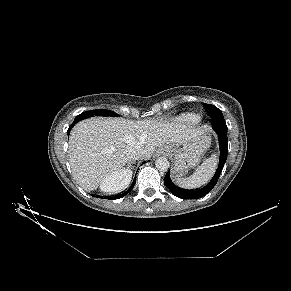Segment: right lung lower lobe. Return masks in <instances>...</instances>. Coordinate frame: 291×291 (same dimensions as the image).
Masks as SVG:
<instances>
[{
    "label": "right lung lower lobe",
    "instance_id": "1",
    "mask_svg": "<svg viewBox=\"0 0 291 291\" xmlns=\"http://www.w3.org/2000/svg\"><path fill=\"white\" fill-rule=\"evenodd\" d=\"M77 122H78V121H74L73 124L69 127V129H68V131H67L68 136H69V133H70L71 128H72V127H73ZM135 182H136V178H134L132 185L130 186V188H129L126 192H124V193H122V194H120V195H117V196H115V197H112L111 199H118V198H122V197H124L125 195H127V194H128V193L133 189V187H134V185H135Z\"/></svg>",
    "mask_w": 291,
    "mask_h": 291
}]
</instances>
